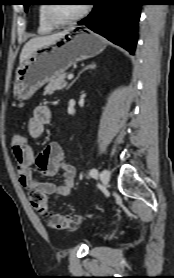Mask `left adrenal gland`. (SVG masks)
<instances>
[{"mask_svg": "<svg viewBox=\"0 0 174 278\" xmlns=\"http://www.w3.org/2000/svg\"><path fill=\"white\" fill-rule=\"evenodd\" d=\"M96 67L95 63H92L90 65H87L84 67L77 75V77L69 84L68 89L77 81V79L80 77V75L87 69H94Z\"/></svg>", "mask_w": 174, "mask_h": 278, "instance_id": "obj_1", "label": "left adrenal gland"}]
</instances>
